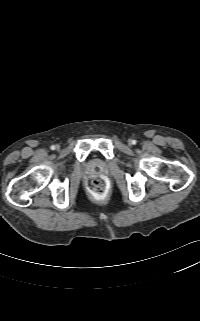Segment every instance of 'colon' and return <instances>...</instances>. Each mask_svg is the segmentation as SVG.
I'll list each match as a JSON object with an SVG mask.
<instances>
[{
	"instance_id": "5ec220e1",
	"label": "colon",
	"mask_w": 200,
	"mask_h": 321,
	"mask_svg": "<svg viewBox=\"0 0 200 321\" xmlns=\"http://www.w3.org/2000/svg\"><path fill=\"white\" fill-rule=\"evenodd\" d=\"M87 189L93 197L103 199L107 194V180L103 176L91 177L87 181Z\"/></svg>"
}]
</instances>
